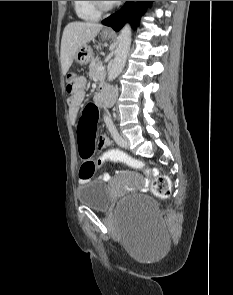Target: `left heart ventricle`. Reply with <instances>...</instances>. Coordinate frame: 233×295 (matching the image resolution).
Listing matches in <instances>:
<instances>
[{"mask_svg":"<svg viewBox=\"0 0 233 295\" xmlns=\"http://www.w3.org/2000/svg\"><path fill=\"white\" fill-rule=\"evenodd\" d=\"M106 4H110L112 3V1H104Z\"/></svg>","mask_w":233,"mask_h":295,"instance_id":"obj_1","label":"left heart ventricle"}]
</instances>
